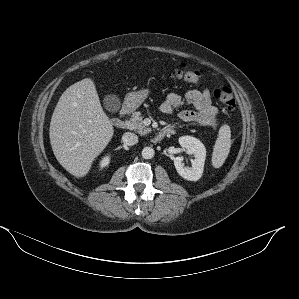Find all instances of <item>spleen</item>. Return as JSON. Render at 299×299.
<instances>
[{"label":"spleen","mask_w":299,"mask_h":299,"mask_svg":"<svg viewBox=\"0 0 299 299\" xmlns=\"http://www.w3.org/2000/svg\"><path fill=\"white\" fill-rule=\"evenodd\" d=\"M231 147V130L227 124L220 127L218 138L213 148L212 165L220 168L225 162Z\"/></svg>","instance_id":"obj_1"}]
</instances>
